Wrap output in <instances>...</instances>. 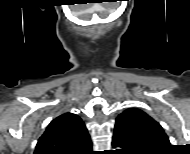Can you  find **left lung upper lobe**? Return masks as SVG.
Wrapping results in <instances>:
<instances>
[{"label":"left lung upper lobe","mask_w":190,"mask_h":154,"mask_svg":"<svg viewBox=\"0 0 190 154\" xmlns=\"http://www.w3.org/2000/svg\"><path fill=\"white\" fill-rule=\"evenodd\" d=\"M116 122L124 123L130 135L150 151L155 152L170 146L161 125L140 109H126L117 117Z\"/></svg>","instance_id":"obj_1"}]
</instances>
